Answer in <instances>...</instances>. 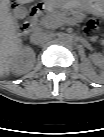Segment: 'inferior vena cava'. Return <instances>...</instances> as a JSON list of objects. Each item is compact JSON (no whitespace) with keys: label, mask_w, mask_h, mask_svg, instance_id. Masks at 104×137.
I'll list each match as a JSON object with an SVG mask.
<instances>
[{"label":"inferior vena cava","mask_w":104,"mask_h":137,"mask_svg":"<svg viewBox=\"0 0 104 137\" xmlns=\"http://www.w3.org/2000/svg\"><path fill=\"white\" fill-rule=\"evenodd\" d=\"M47 39H48V35L40 30L35 31L30 37L31 42L36 45L45 43Z\"/></svg>","instance_id":"obj_1"}]
</instances>
